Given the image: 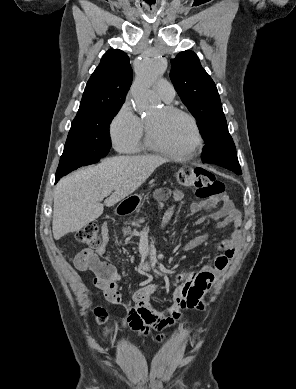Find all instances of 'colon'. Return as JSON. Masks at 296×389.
Wrapping results in <instances>:
<instances>
[{"label":"colon","instance_id":"obj_1","mask_svg":"<svg viewBox=\"0 0 296 389\" xmlns=\"http://www.w3.org/2000/svg\"><path fill=\"white\" fill-rule=\"evenodd\" d=\"M175 180L180 186L193 188L196 197L211 207L220 202L222 203L224 199V184L206 169L183 167L176 173ZM102 238V230L95 223L85 225L76 233L77 241L88 247L99 246ZM78 263L84 264L85 260L78 258ZM95 316L101 324L107 319V313L102 308L95 310Z\"/></svg>","mask_w":296,"mask_h":389}]
</instances>
